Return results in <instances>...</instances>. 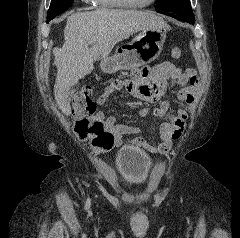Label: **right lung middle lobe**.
Masks as SVG:
<instances>
[{
  "instance_id": "obj_1",
  "label": "right lung middle lobe",
  "mask_w": 240,
  "mask_h": 238,
  "mask_svg": "<svg viewBox=\"0 0 240 238\" xmlns=\"http://www.w3.org/2000/svg\"><path fill=\"white\" fill-rule=\"evenodd\" d=\"M73 1L74 0H51L50 8L47 14V23L68 9Z\"/></svg>"
}]
</instances>
